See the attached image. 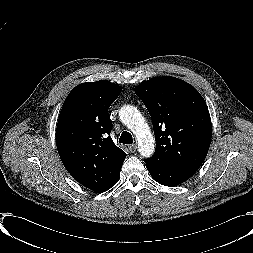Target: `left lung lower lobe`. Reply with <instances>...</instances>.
I'll use <instances>...</instances> for the list:
<instances>
[{
	"instance_id": "left-lung-lower-lobe-1",
	"label": "left lung lower lobe",
	"mask_w": 253,
	"mask_h": 253,
	"mask_svg": "<svg viewBox=\"0 0 253 253\" xmlns=\"http://www.w3.org/2000/svg\"><path fill=\"white\" fill-rule=\"evenodd\" d=\"M146 168L150 172L152 178L156 180L158 183L165 186H177L191 176L194 175L193 171H181V170H167L161 169L154 166H149L146 164Z\"/></svg>"
}]
</instances>
